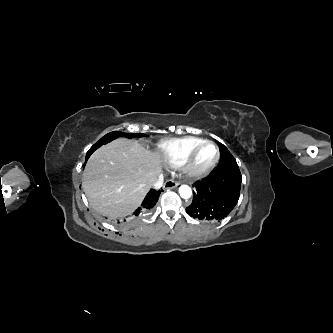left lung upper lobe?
I'll return each mask as SVG.
<instances>
[{
	"instance_id": "5c2ea615",
	"label": "left lung upper lobe",
	"mask_w": 333,
	"mask_h": 333,
	"mask_svg": "<svg viewBox=\"0 0 333 333\" xmlns=\"http://www.w3.org/2000/svg\"><path fill=\"white\" fill-rule=\"evenodd\" d=\"M219 149L220 162L218 164V167L237 164L235 158L231 155V153L223 144L219 143Z\"/></svg>"
}]
</instances>
